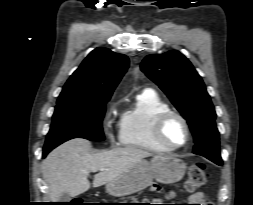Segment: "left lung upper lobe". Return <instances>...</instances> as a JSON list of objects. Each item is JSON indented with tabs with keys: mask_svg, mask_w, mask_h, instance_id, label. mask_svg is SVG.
<instances>
[{
	"mask_svg": "<svg viewBox=\"0 0 253 205\" xmlns=\"http://www.w3.org/2000/svg\"><path fill=\"white\" fill-rule=\"evenodd\" d=\"M142 71L169 97L187 120L194 136L195 154L222 165L216 113L205 85L190 61L176 50L148 55Z\"/></svg>",
	"mask_w": 253,
	"mask_h": 205,
	"instance_id": "obj_1",
	"label": "left lung upper lobe"
}]
</instances>
